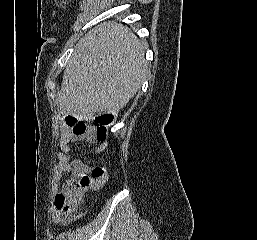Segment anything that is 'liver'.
Wrapping results in <instances>:
<instances>
[{"instance_id":"liver-1","label":"liver","mask_w":257,"mask_h":240,"mask_svg":"<svg viewBox=\"0 0 257 240\" xmlns=\"http://www.w3.org/2000/svg\"><path fill=\"white\" fill-rule=\"evenodd\" d=\"M141 42L114 22L92 29L76 45L56 98L61 113L79 120L95 113L118 115L144 82Z\"/></svg>"}]
</instances>
